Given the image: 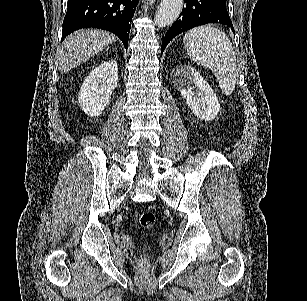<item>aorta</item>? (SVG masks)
<instances>
[{
    "mask_svg": "<svg viewBox=\"0 0 307 301\" xmlns=\"http://www.w3.org/2000/svg\"><path fill=\"white\" fill-rule=\"evenodd\" d=\"M183 6V0H161L154 16L157 26H170L178 18Z\"/></svg>",
    "mask_w": 307,
    "mask_h": 301,
    "instance_id": "aorta-1",
    "label": "aorta"
}]
</instances>
